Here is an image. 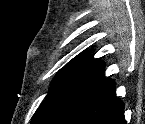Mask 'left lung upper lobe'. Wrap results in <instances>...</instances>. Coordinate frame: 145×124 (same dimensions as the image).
<instances>
[{
  "label": "left lung upper lobe",
  "mask_w": 145,
  "mask_h": 124,
  "mask_svg": "<svg viewBox=\"0 0 145 124\" xmlns=\"http://www.w3.org/2000/svg\"><path fill=\"white\" fill-rule=\"evenodd\" d=\"M104 65L92 55L81 54L54 78L47 98L36 111L32 124H45L98 72Z\"/></svg>",
  "instance_id": "left-lung-upper-lobe-1"
}]
</instances>
